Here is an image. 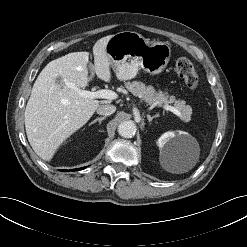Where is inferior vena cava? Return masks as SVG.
<instances>
[{
    "label": "inferior vena cava",
    "mask_w": 247,
    "mask_h": 247,
    "mask_svg": "<svg viewBox=\"0 0 247 247\" xmlns=\"http://www.w3.org/2000/svg\"><path fill=\"white\" fill-rule=\"evenodd\" d=\"M116 111V107L110 104H102L97 108V113L104 116H109Z\"/></svg>",
    "instance_id": "1"
}]
</instances>
